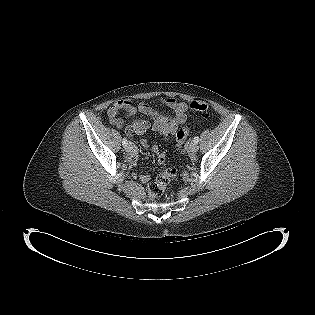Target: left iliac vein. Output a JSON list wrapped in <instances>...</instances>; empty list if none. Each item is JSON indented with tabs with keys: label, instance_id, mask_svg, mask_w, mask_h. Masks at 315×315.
Returning <instances> with one entry per match:
<instances>
[{
	"label": "left iliac vein",
	"instance_id": "4c4485c4",
	"mask_svg": "<svg viewBox=\"0 0 315 315\" xmlns=\"http://www.w3.org/2000/svg\"><path fill=\"white\" fill-rule=\"evenodd\" d=\"M198 144L195 143V142H191L190 145H189V151L192 152V153H195L198 151Z\"/></svg>",
	"mask_w": 315,
	"mask_h": 315
}]
</instances>
